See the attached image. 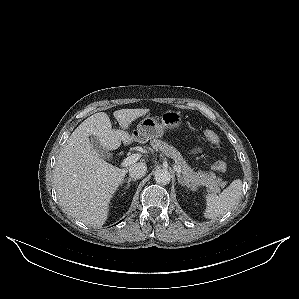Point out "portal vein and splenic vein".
<instances>
[{
  "label": "portal vein and splenic vein",
  "mask_w": 299,
  "mask_h": 299,
  "mask_svg": "<svg viewBox=\"0 0 299 299\" xmlns=\"http://www.w3.org/2000/svg\"><path fill=\"white\" fill-rule=\"evenodd\" d=\"M139 158H140L139 154H132L131 156H128L127 158H125L122 161L121 166L122 167L130 166L131 164L135 163ZM175 170L178 173H181V168L180 167H176Z\"/></svg>",
  "instance_id": "obj_1"
}]
</instances>
